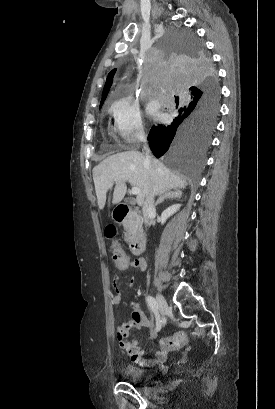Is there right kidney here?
I'll use <instances>...</instances> for the list:
<instances>
[{"label": "right kidney", "mask_w": 275, "mask_h": 409, "mask_svg": "<svg viewBox=\"0 0 275 409\" xmlns=\"http://www.w3.org/2000/svg\"><path fill=\"white\" fill-rule=\"evenodd\" d=\"M181 205H172V207H168V209H165L161 215V223H165L166 219H169L171 215H174V213H177L179 211Z\"/></svg>", "instance_id": "obj_1"}]
</instances>
